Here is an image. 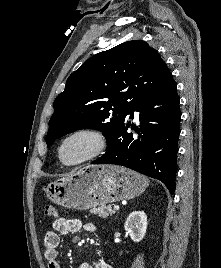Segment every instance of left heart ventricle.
I'll return each mask as SVG.
<instances>
[{"instance_id":"obj_1","label":"left heart ventricle","mask_w":221,"mask_h":268,"mask_svg":"<svg viewBox=\"0 0 221 268\" xmlns=\"http://www.w3.org/2000/svg\"><path fill=\"white\" fill-rule=\"evenodd\" d=\"M91 147L87 137H77L69 141L63 148L62 155L66 161H73L84 155Z\"/></svg>"}]
</instances>
